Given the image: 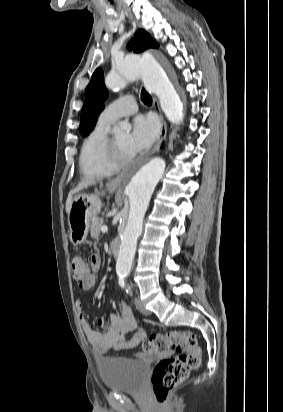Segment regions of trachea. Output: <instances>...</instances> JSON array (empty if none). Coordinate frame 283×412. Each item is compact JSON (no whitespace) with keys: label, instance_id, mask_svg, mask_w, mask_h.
Segmentation results:
<instances>
[{"label":"trachea","instance_id":"3493384b","mask_svg":"<svg viewBox=\"0 0 283 412\" xmlns=\"http://www.w3.org/2000/svg\"><path fill=\"white\" fill-rule=\"evenodd\" d=\"M141 100L147 105L152 104V98L144 88L141 91Z\"/></svg>","mask_w":283,"mask_h":412}]
</instances>
